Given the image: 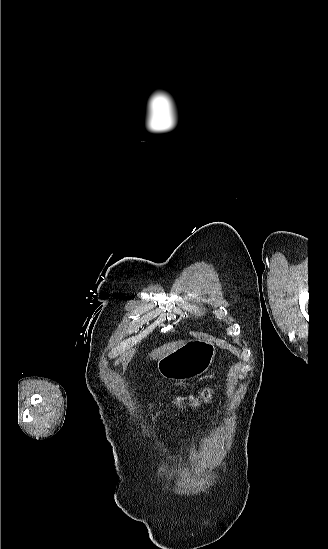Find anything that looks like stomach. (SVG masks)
<instances>
[{"instance_id": "obj_1", "label": "stomach", "mask_w": 328, "mask_h": 549, "mask_svg": "<svg viewBox=\"0 0 328 549\" xmlns=\"http://www.w3.org/2000/svg\"><path fill=\"white\" fill-rule=\"evenodd\" d=\"M216 355V345L211 337L188 341L157 363V369L170 381H191L211 367Z\"/></svg>"}]
</instances>
